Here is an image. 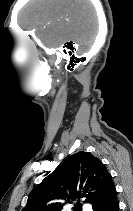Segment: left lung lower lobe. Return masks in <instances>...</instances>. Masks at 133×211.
<instances>
[{
    "label": "left lung lower lobe",
    "instance_id": "left-lung-lower-lobe-1",
    "mask_svg": "<svg viewBox=\"0 0 133 211\" xmlns=\"http://www.w3.org/2000/svg\"><path fill=\"white\" fill-rule=\"evenodd\" d=\"M94 211H119V203L117 200V192L115 186L99 200L93 203Z\"/></svg>",
    "mask_w": 133,
    "mask_h": 211
}]
</instances>
